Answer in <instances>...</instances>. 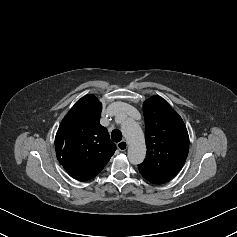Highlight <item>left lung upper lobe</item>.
<instances>
[{
    "label": "left lung upper lobe",
    "mask_w": 237,
    "mask_h": 237,
    "mask_svg": "<svg viewBox=\"0 0 237 237\" xmlns=\"http://www.w3.org/2000/svg\"><path fill=\"white\" fill-rule=\"evenodd\" d=\"M147 154L139 171L169 181L182 168L189 151V136L182 118L161 97L143 104Z\"/></svg>",
    "instance_id": "5c2ea615"
}]
</instances>
